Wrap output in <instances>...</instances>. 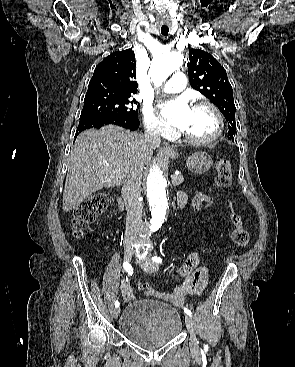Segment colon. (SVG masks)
Returning <instances> with one entry per match:
<instances>
[{
  "instance_id": "5ec220e1",
  "label": "colon",
  "mask_w": 295,
  "mask_h": 367,
  "mask_svg": "<svg viewBox=\"0 0 295 367\" xmlns=\"http://www.w3.org/2000/svg\"><path fill=\"white\" fill-rule=\"evenodd\" d=\"M216 184L220 188H227L232 181L231 165L228 160L222 159L216 165ZM191 211L206 212L210 206L214 205L216 196L214 195H192ZM108 205V197L105 193H95L83 200L73 211L71 225L73 235L80 237L85 229L93 223L106 209ZM230 220L234 225L232 231V240L239 248H244L249 242V234L243 226L241 216L230 205ZM141 289L146 294H152L153 290L147 282H142Z\"/></svg>"
}]
</instances>
